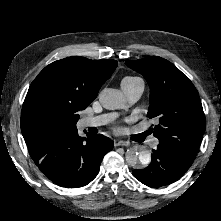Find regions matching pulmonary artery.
Returning <instances> with one entry per match:
<instances>
[{"label":"pulmonary artery","mask_w":221,"mask_h":221,"mask_svg":"<svg viewBox=\"0 0 221 221\" xmlns=\"http://www.w3.org/2000/svg\"><path fill=\"white\" fill-rule=\"evenodd\" d=\"M121 89L125 95V98L128 103H135L141 97L144 90V83L142 80L134 81V82H123L121 83ZM117 117V113H109L94 117H86L81 120V127L89 128V127H98L105 125L109 122H112ZM154 146L157 145L155 141Z\"/></svg>","instance_id":"pulmonary-artery-1"}]
</instances>
